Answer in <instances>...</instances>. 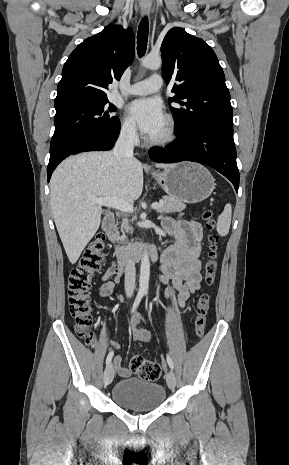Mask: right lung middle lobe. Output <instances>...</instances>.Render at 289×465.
Masks as SVG:
<instances>
[{
  "instance_id": "1",
  "label": "right lung middle lobe",
  "mask_w": 289,
  "mask_h": 465,
  "mask_svg": "<svg viewBox=\"0 0 289 465\" xmlns=\"http://www.w3.org/2000/svg\"><path fill=\"white\" fill-rule=\"evenodd\" d=\"M108 99L77 100L55 105V132L50 144V154L88 134H109L120 122L110 116L116 110Z\"/></svg>"
}]
</instances>
